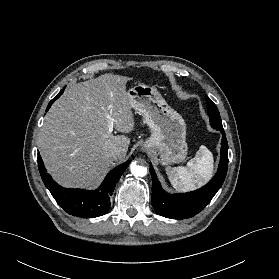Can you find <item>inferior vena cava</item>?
I'll return each mask as SVG.
<instances>
[{
  "mask_svg": "<svg viewBox=\"0 0 279 279\" xmlns=\"http://www.w3.org/2000/svg\"><path fill=\"white\" fill-rule=\"evenodd\" d=\"M120 153H121V150L118 149V148H115V149H113V150H111V151L109 152V155H110L111 157H117V156L120 155Z\"/></svg>",
  "mask_w": 279,
  "mask_h": 279,
  "instance_id": "obj_1",
  "label": "inferior vena cava"
}]
</instances>
